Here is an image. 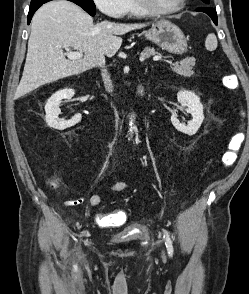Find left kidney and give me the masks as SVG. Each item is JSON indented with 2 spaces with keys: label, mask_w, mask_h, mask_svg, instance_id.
<instances>
[{
  "label": "left kidney",
  "mask_w": 249,
  "mask_h": 294,
  "mask_svg": "<svg viewBox=\"0 0 249 294\" xmlns=\"http://www.w3.org/2000/svg\"><path fill=\"white\" fill-rule=\"evenodd\" d=\"M177 100L181 107H187L186 112L191 114L192 120L185 125L178 120L176 115H172L171 122L178 131L187 135H194L204 120L203 105L200 98L191 91L182 90L177 93Z\"/></svg>",
  "instance_id": "1"
}]
</instances>
